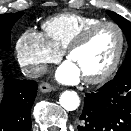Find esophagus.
Masks as SVG:
<instances>
[{"label":"esophagus","instance_id":"obj_1","mask_svg":"<svg viewBox=\"0 0 131 131\" xmlns=\"http://www.w3.org/2000/svg\"><path fill=\"white\" fill-rule=\"evenodd\" d=\"M54 88L48 83H42L39 86V90L43 93L51 92Z\"/></svg>","mask_w":131,"mask_h":131}]
</instances>
